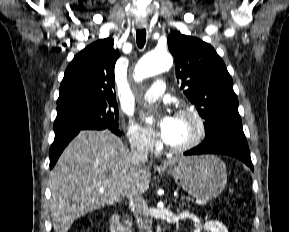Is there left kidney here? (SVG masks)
<instances>
[{"label": "left kidney", "instance_id": "1", "mask_svg": "<svg viewBox=\"0 0 289 232\" xmlns=\"http://www.w3.org/2000/svg\"><path fill=\"white\" fill-rule=\"evenodd\" d=\"M202 231L228 232V229L219 221H209L206 222L203 226L197 227V229L194 232H202Z\"/></svg>", "mask_w": 289, "mask_h": 232}]
</instances>
